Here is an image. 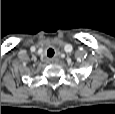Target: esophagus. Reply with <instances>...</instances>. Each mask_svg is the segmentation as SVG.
Returning a JSON list of instances; mask_svg holds the SVG:
<instances>
[{
  "instance_id": "esophagus-1",
  "label": "esophagus",
  "mask_w": 115,
  "mask_h": 114,
  "mask_svg": "<svg viewBox=\"0 0 115 114\" xmlns=\"http://www.w3.org/2000/svg\"><path fill=\"white\" fill-rule=\"evenodd\" d=\"M49 62L50 63H54V62H56V59L55 58H51V59H49Z\"/></svg>"
}]
</instances>
